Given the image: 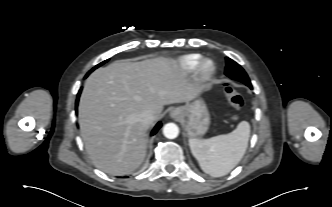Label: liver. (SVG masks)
I'll use <instances>...</instances> for the list:
<instances>
[{"instance_id":"obj_1","label":"liver","mask_w":332,"mask_h":207,"mask_svg":"<svg viewBox=\"0 0 332 207\" xmlns=\"http://www.w3.org/2000/svg\"><path fill=\"white\" fill-rule=\"evenodd\" d=\"M198 92L171 58L119 60L94 71L85 82L78 115L93 164L111 175L136 170L146 156L149 127L139 115L150 110L155 121L164 105L189 102Z\"/></svg>"}]
</instances>
